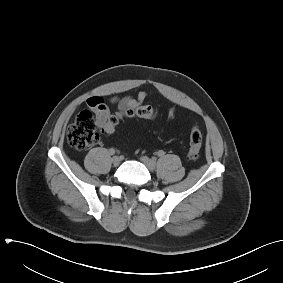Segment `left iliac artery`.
<instances>
[{
	"label": "left iliac artery",
	"mask_w": 283,
	"mask_h": 283,
	"mask_svg": "<svg viewBox=\"0 0 283 283\" xmlns=\"http://www.w3.org/2000/svg\"><path fill=\"white\" fill-rule=\"evenodd\" d=\"M157 154H158L159 157H162V156H164L165 152L163 150H160V151H158Z\"/></svg>",
	"instance_id": "1"
}]
</instances>
